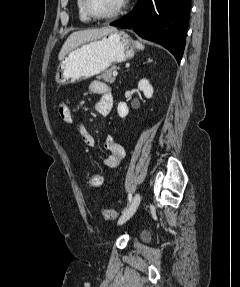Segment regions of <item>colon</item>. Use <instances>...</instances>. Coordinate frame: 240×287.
I'll use <instances>...</instances> for the list:
<instances>
[{
	"mask_svg": "<svg viewBox=\"0 0 240 287\" xmlns=\"http://www.w3.org/2000/svg\"><path fill=\"white\" fill-rule=\"evenodd\" d=\"M86 179L88 182V185L91 188H100L103 184V175L100 171L98 170H90L86 174ZM100 215L105 219V220H115L117 217V213L110 210V209H99Z\"/></svg>",
	"mask_w": 240,
	"mask_h": 287,
	"instance_id": "colon-1",
	"label": "colon"
}]
</instances>
